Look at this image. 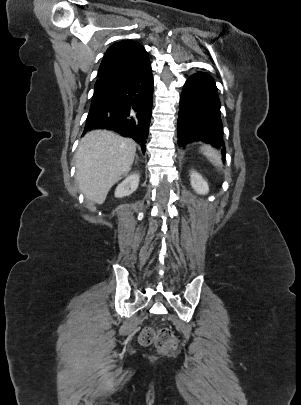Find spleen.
<instances>
[{"label":"spleen","instance_id":"spleen-1","mask_svg":"<svg viewBox=\"0 0 301 405\" xmlns=\"http://www.w3.org/2000/svg\"><path fill=\"white\" fill-rule=\"evenodd\" d=\"M201 152L209 159V161L217 167L222 166L220 154L209 146H204L201 148Z\"/></svg>","mask_w":301,"mask_h":405}]
</instances>
